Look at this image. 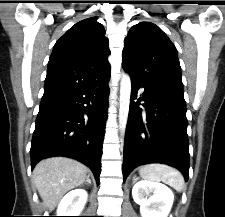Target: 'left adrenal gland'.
Segmentation results:
<instances>
[{"label": "left adrenal gland", "mask_w": 225, "mask_h": 217, "mask_svg": "<svg viewBox=\"0 0 225 217\" xmlns=\"http://www.w3.org/2000/svg\"><path fill=\"white\" fill-rule=\"evenodd\" d=\"M138 178H136V175L133 177V182H135Z\"/></svg>", "instance_id": "1"}]
</instances>
